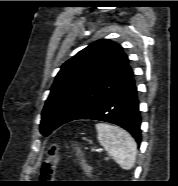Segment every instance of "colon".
Here are the masks:
<instances>
[{
    "label": "colon",
    "mask_w": 178,
    "mask_h": 186,
    "mask_svg": "<svg viewBox=\"0 0 178 186\" xmlns=\"http://www.w3.org/2000/svg\"><path fill=\"white\" fill-rule=\"evenodd\" d=\"M61 145L53 144L47 153V157L40 165V178L44 182H51L55 177L56 166L60 159ZM83 170L87 171L88 167L83 160H79Z\"/></svg>",
    "instance_id": "1"
}]
</instances>
